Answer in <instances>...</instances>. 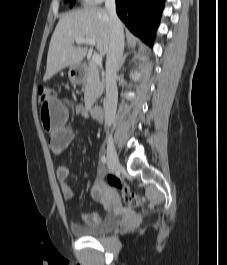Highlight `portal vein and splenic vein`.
Returning a JSON list of instances; mask_svg holds the SVG:
<instances>
[{
    "mask_svg": "<svg viewBox=\"0 0 227 265\" xmlns=\"http://www.w3.org/2000/svg\"><path fill=\"white\" fill-rule=\"evenodd\" d=\"M75 42L77 44H88L90 46H95L96 45V41L94 39H90V38H76ZM92 62L95 64H101L102 62V56L99 55L98 53H94L92 55Z\"/></svg>",
    "mask_w": 227,
    "mask_h": 265,
    "instance_id": "1",
    "label": "portal vein and splenic vein"
}]
</instances>
